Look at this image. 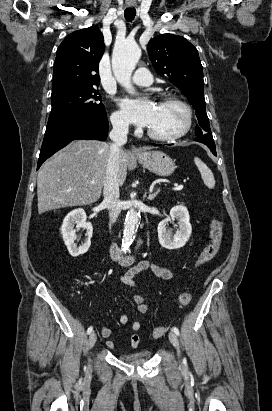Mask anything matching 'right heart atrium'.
<instances>
[{
  "mask_svg": "<svg viewBox=\"0 0 272 411\" xmlns=\"http://www.w3.org/2000/svg\"><path fill=\"white\" fill-rule=\"evenodd\" d=\"M111 122L117 129H126L128 127L127 119L121 111H115L112 114Z\"/></svg>",
  "mask_w": 272,
  "mask_h": 411,
  "instance_id": "d8ad5b80",
  "label": "right heart atrium"
}]
</instances>
